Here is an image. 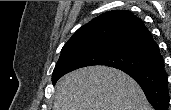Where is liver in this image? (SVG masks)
<instances>
[{
	"label": "liver",
	"instance_id": "liver-1",
	"mask_svg": "<svg viewBox=\"0 0 171 110\" xmlns=\"http://www.w3.org/2000/svg\"><path fill=\"white\" fill-rule=\"evenodd\" d=\"M53 110H152L130 76L106 66H89L57 83Z\"/></svg>",
	"mask_w": 171,
	"mask_h": 110
}]
</instances>
